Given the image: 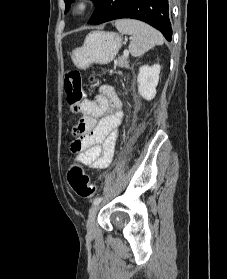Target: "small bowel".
I'll use <instances>...</instances> for the list:
<instances>
[{
	"mask_svg": "<svg viewBox=\"0 0 227 279\" xmlns=\"http://www.w3.org/2000/svg\"><path fill=\"white\" fill-rule=\"evenodd\" d=\"M78 111L82 117L73 129V146H78L76 161L93 169L108 167L123 118L119 95L105 85L93 100H83Z\"/></svg>",
	"mask_w": 227,
	"mask_h": 279,
	"instance_id": "obj_1",
	"label": "small bowel"
}]
</instances>
